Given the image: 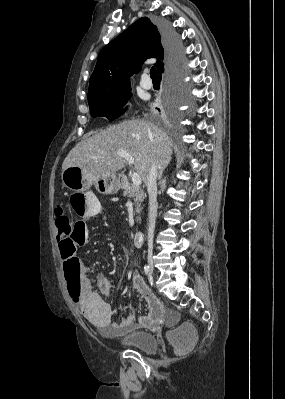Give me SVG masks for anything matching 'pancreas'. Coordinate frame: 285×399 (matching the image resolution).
<instances>
[{
	"mask_svg": "<svg viewBox=\"0 0 285 399\" xmlns=\"http://www.w3.org/2000/svg\"><path fill=\"white\" fill-rule=\"evenodd\" d=\"M123 189H124L123 196H127V197L133 199L134 206H135V212L137 214H140L141 204L145 199L144 190L141 187L135 186L130 183L124 184ZM137 219H138V217H137Z\"/></svg>",
	"mask_w": 285,
	"mask_h": 399,
	"instance_id": "obj_1",
	"label": "pancreas"
}]
</instances>
